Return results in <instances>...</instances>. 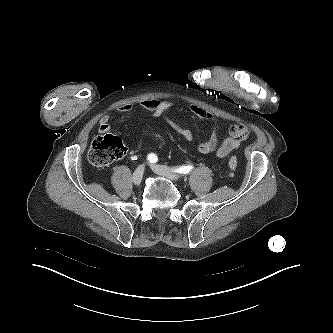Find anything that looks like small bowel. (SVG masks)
I'll use <instances>...</instances> for the list:
<instances>
[{
  "label": "small bowel",
  "instance_id": "1",
  "mask_svg": "<svg viewBox=\"0 0 333 333\" xmlns=\"http://www.w3.org/2000/svg\"><path fill=\"white\" fill-rule=\"evenodd\" d=\"M140 106L150 112L151 118H160L173 108L174 103L169 100H158L152 98L141 101ZM131 109L132 105L125 104L119 106L117 111L120 113H126ZM190 111L199 119L208 122L212 127V131L208 138L200 142L198 145L197 149L201 154L205 155L213 153L216 158L226 157L230 153L238 150L241 144L247 140L250 135V130L246 125L232 124L228 129L229 136L224 138L219 145V140L215 130L216 120L214 116L202 107L195 104L190 105ZM165 119L167 123L173 128L175 134L182 137L186 141H191L193 139V133L189 128L180 125L170 117H165ZM110 120L111 116L109 114H105L101 117L99 122V133L106 134L112 130Z\"/></svg>",
  "mask_w": 333,
  "mask_h": 333
}]
</instances>
